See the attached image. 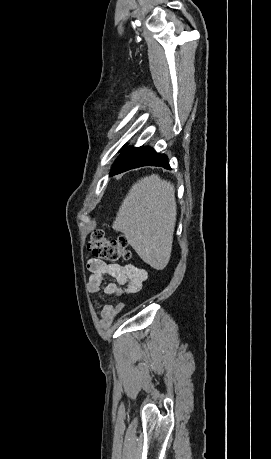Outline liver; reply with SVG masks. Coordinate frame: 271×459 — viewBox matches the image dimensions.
<instances>
[{
    "mask_svg": "<svg viewBox=\"0 0 271 459\" xmlns=\"http://www.w3.org/2000/svg\"><path fill=\"white\" fill-rule=\"evenodd\" d=\"M177 210L173 184L157 174L133 184L113 224L145 263L166 267L171 251Z\"/></svg>",
    "mask_w": 271,
    "mask_h": 459,
    "instance_id": "1",
    "label": "liver"
}]
</instances>
